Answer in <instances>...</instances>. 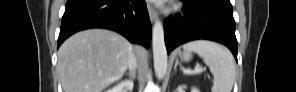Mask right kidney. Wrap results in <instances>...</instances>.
<instances>
[{
	"mask_svg": "<svg viewBox=\"0 0 296 92\" xmlns=\"http://www.w3.org/2000/svg\"><path fill=\"white\" fill-rule=\"evenodd\" d=\"M124 88H127L129 91H132L133 89V82L132 81H123L121 83H118L113 88L107 90L106 92H122Z\"/></svg>",
	"mask_w": 296,
	"mask_h": 92,
	"instance_id": "ca27d5eb",
	"label": "right kidney"
}]
</instances>
